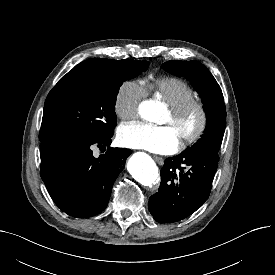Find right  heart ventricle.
Returning <instances> with one entry per match:
<instances>
[{"instance_id":"e07e8e85","label":"right heart ventricle","mask_w":275,"mask_h":275,"mask_svg":"<svg viewBox=\"0 0 275 275\" xmlns=\"http://www.w3.org/2000/svg\"><path fill=\"white\" fill-rule=\"evenodd\" d=\"M147 89L154 97L169 107L177 106L195 98V91L183 79L177 77H159L148 83Z\"/></svg>"}]
</instances>
